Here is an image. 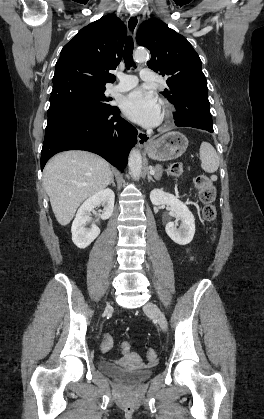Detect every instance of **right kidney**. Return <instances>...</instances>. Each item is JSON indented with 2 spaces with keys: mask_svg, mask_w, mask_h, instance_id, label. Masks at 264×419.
<instances>
[{
  "mask_svg": "<svg viewBox=\"0 0 264 419\" xmlns=\"http://www.w3.org/2000/svg\"><path fill=\"white\" fill-rule=\"evenodd\" d=\"M115 194L111 189H103L89 197L78 209L76 217L72 223V241L81 249L89 246L100 234V229L93 224L90 229L86 228V223L90 221V213L97 206H104V211L100 215L102 220L109 219L114 210Z\"/></svg>",
  "mask_w": 264,
  "mask_h": 419,
  "instance_id": "1",
  "label": "right kidney"
}]
</instances>
